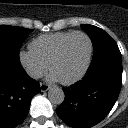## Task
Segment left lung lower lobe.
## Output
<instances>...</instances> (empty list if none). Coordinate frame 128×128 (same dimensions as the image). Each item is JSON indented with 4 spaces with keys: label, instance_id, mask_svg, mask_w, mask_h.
Masks as SVG:
<instances>
[{
    "label": "left lung lower lobe",
    "instance_id": "0a47b994",
    "mask_svg": "<svg viewBox=\"0 0 128 128\" xmlns=\"http://www.w3.org/2000/svg\"><path fill=\"white\" fill-rule=\"evenodd\" d=\"M122 82L120 51L98 55L81 81L64 88V102L57 115L70 127L90 128L102 121L113 108Z\"/></svg>",
    "mask_w": 128,
    "mask_h": 128
}]
</instances>
